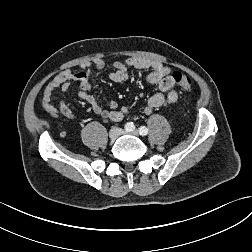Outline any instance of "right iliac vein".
I'll return each instance as SVG.
<instances>
[{"label": "right iliac vein", "instance_id": "obj_1", "mask_svg": "<svg viewBox=\"0 0 252 252\" xmlns=\"http://www.w3.org/2000/svg\"><path fill=\"white\" fill-rule=\"evenodd\" d=\"M123 133V130L121 128L118 127H113L110 131H109V137L112 140H116L121 134Z\"/></svg>", "mask_w": 252, "mask_h": 252}]
</instances>
